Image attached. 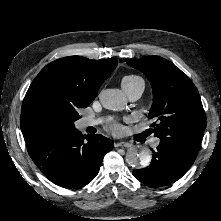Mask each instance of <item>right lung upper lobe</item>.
Segmentation results:
<instances>
[{"label": "right lung upper lobe", "mask_w": 221, "mask_h": 221, "mask_svg": "<svg viewBox=\"0 0 221 221\" xmlns=\"http://www.w3.org/2000/svg\"><path fill=\"white\" fill-rule=\"evenodd\" d=\"M116 66L115 59L91 60L81 56L57 59L45 66L31 83L22 104L20 126L26 143L64 132L49 106H88Z\"/></svg>", "instance_id": "right-lung-upper-lobe-1"}]
</instances>
